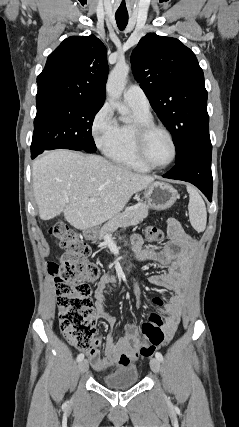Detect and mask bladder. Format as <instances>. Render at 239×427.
Here are the masks:
<instances>
[{
  "label": "bladder",
  "instance_id": "1",
  "mask_svg": "<svg viewBox=\"0 0 239 427\" xmlns=\"http://www.w3.org/2000/svg\"><path fill=\"white\" fill-rule=\"evenodd\" d=\"M139 373L135 367L120 369L102 378L103 384L111 389H126L138 382Z\"/></svg>",
  "mask_w": 239,
  "mask_h": 427
}]
</instances>
